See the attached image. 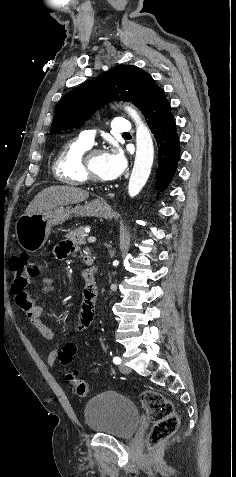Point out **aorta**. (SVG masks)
<instances>
[{
    "mask_svg": "<svg viewBox=\"0 0 236 477\" xmlns=\"http://www.w3.org/2000/svg\"><path fill=\"white\" fill-rule=\"evenodd\" d=\"M125 110L136 124V155L128 184V194L130 197H134L139 194L150 176L154 160V146L150 130L141 120L137 111L129 106H126Z\"/></svg>",
    "mask_w": 236,
    "mask_h": 477,
    "instance_id": "aorta-1",
    "label": "aorta"
}]
</instances>
